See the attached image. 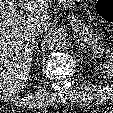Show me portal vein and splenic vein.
I'll list each match as a JSON object with an SVG mask.
<instances>
[{
    "instance_id": "1",
    "label": "portal vein and splenic vein",
    "mask_w": 113,
    "mask_h": 113,
    "mask_svg": "<svg viewBox=\"0 0 113 113\" xmlns=\"http://www.w3.org/2000/svg\"><path fill=\"white\" fill-rule=\"evenodd\" d=\"M19 16H20V17H19L18 23H21L22 20L25 18V17H24V12L20 10V15H19ZM74 31H75V32H78V31L75 30V29H74ZM84 40L86 41V38H85ZM93 47H94V48H97L95 45H94ZM98 49H99L100 51L103 50V49L100 48V47H99Z\"/></svg>"
}]
</instances>
